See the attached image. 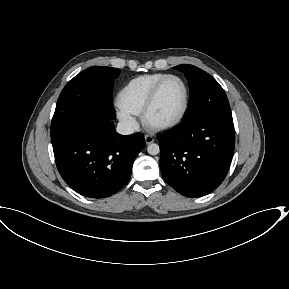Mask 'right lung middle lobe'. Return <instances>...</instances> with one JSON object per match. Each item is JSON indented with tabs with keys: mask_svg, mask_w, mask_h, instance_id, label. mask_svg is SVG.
<instances>
[{
	"mask_svg": "<svg viewBox=\"0 0 289 289\" xmlns=\"http://www.w3.org/2000/svg\"><path fill=\"white\" fill-rule=\"evenodd\" d=\"M119 69L92 66L71 79L62 90L51 122V140L80 124L87 116L115 119L112 89Z\"/></svg>",
	"mask_w": 289,
	"mask_h": 289,
	"instance_id": "dd1d6c3e",
	"label": "right lung middle lobe"
}]
</instances>
